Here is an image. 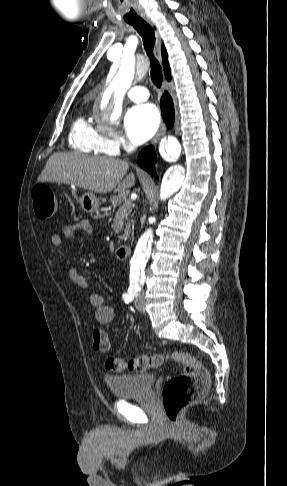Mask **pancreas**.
<instances>
[{"instance_id": "cf45deb5", "label": "pancreas", "mask_w": 287, "mask_h": 486, "mask_svg": "<svg viewBox=\"0 0 287 486\" xmlns=\"http://www.w3.org/2000/svg\"><path fill=\"white\" fill-rule=\"evenodd\" d=\"M109 201L111 202L113 212L119 207V211L124 214L126 228L121 238L126 239L131 233V223H133V216L131 215V219L128 218L131 211V202L127 199L126 195L122 194L111 196Z\"/></svg>"}]
</instances>
